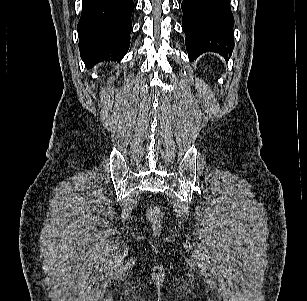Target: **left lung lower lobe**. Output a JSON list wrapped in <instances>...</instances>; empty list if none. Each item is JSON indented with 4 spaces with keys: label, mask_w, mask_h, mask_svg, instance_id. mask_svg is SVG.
Returning a JSON list of instances; mask_svg holds the SVG:
<instances>
[{
    "label": "left lung lower lobe",
    "mask_w": 307,
    "mask_h": 301,
    "mask_svg": "<svg viewBox=\"0 0 307 301\" xmlns=\"http://www.w3.org/2000/svg\"><path fill=\"white\" fill-rule=\"evenodd\" d=\"M230 0H183L182 27L191 61L205 52H215L225 59L234 48V17Z\"/></svg>",
    "instance_id": "1"
}]
</instances>
